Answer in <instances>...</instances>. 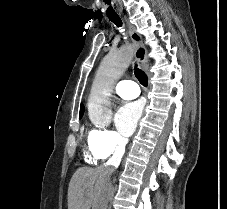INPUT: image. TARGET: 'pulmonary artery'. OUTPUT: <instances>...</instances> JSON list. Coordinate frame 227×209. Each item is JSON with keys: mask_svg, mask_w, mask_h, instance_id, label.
<instances>
[{"mask_svg": "<svg viewBox=\"0 0 227 209\" xmlns=\"http://www.w3.org/2000/svg\"><path fill=\"white\" fill-rule=\"evenodd\" d=\"M130 80L121 81L115 87V93L123 99H133L138 96V84H127Z\"/></svg>", "mask_w": 227, "mask_h": 209, "instance_id": "1", "label": "pulmonary artery"}]
</instances>
